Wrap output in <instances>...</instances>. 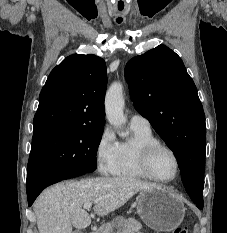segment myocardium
Returning <instances> with one entry per match:
<instances>
[{
    "label": "myocardium",
    "mask_w": 227,
    "mask_h": 233,
    "mask_svg": "<svg viewBox=\"0 0 227 233\" xmlns=\"http://www.w3.org/2000/svg\"><path fill=\"white\" fill-rule=\"evenodd\" d=\"M159 150H166L174 158L176 169L174 176L170 179L160 178L152 170V166H151L152 158L154 154ZM138 159H139V166L142 172L146 175L147 178L152 179L154 181L161 183H170L175 181L180 174V160L177 153L171 147L161 142H154L141 147L139 150Z\"/></svg>",
    "instance_id": "1"
}]
</instances>
